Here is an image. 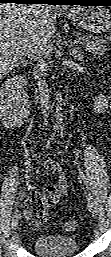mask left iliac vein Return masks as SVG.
<instances>
[{
  "label": "left iliac vein",
  "instance_id": "obj_1",
  "mask_svg": "<svg viewBox=\"0 0 111 257\" xmlns=\"http://www.w3.org/2000/svg\"><path fill=\"white\" fill-rule=\"evenodd\" d=\"M87 202H88L89 211L92 213L93 216H95L96 215V206H95V202H94L92 196H90V195L87 196Z\"/></svg>",
  "mask_w": 111,
  "mask_h": 257
}]
</instances>
